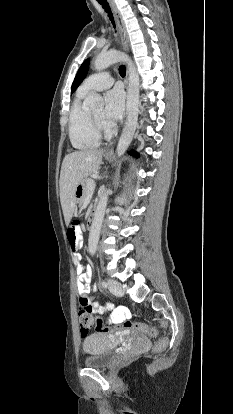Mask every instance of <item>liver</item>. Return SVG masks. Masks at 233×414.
Wrapping results in <instances>:
<instances>
[{"label": "liver", "mask_w": 233, "mask_h": 414, "mask_svg": "<svg viewBox=\"0 0 233 414\" xmlns=\"http://www.w3.org/2000/svg\"><path fill=\"white\" fill-rule=\"evenodd\" d=\"M102 155L103 149L91 148L74 151L64 157L59 185L60 201L67 225L70 223L75 209L76 188L85 177L100 168Z\"/></svg>", "instance_id": "1"}]
</instances>
